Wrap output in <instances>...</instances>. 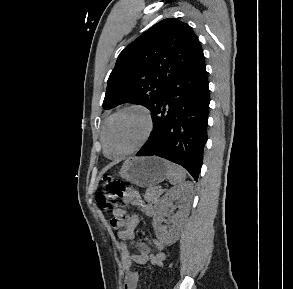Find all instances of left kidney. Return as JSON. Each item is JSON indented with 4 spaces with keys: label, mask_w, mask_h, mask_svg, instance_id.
<instances>
[{
    "label": "left kidney",
    "mask_w": 293,
    "mask_h": 289,
    "mask_svg": "<svg viewBox=\"0 0 293 289\" xmlns=\"http://www.w3.org/2000/svg\"><path fill=\"white\" fill-rule=\"evenodd\" d=\"M190 190L191 185L189 183H184L167 191L153 218V227L156 237L168 246L175 243L179 238L182 221L187 210V199ZM174 200H179V212L172 217V225L167 228L162 225L164 216H166L165 210L172 205Z\"/></svg>",
    "instance_id": "left-kidney-1"
}]
</instances>
